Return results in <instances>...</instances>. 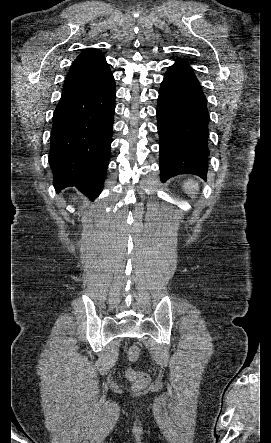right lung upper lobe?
I'll list each match as a JSON object with an SVG mask.
<instances>
[{
	"mask_svg": "<svg viewBox=\"0 0 271 443\" xmlns=\"http://www.w3.org/2000/svg\"><path fill=\"white\" fill-rule=\"evenodd\" d=\"M113 75L104 55L93 49H84L74 60L66 77L63 90L100 84Z\"/></svg>",
	"mask_w": 271,
	"mask_h": 443,
	"instance_id": "obj_1",
	"label": "right lung upper lobe"
}]
</instances>
